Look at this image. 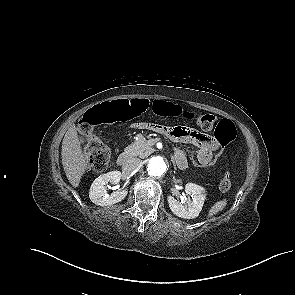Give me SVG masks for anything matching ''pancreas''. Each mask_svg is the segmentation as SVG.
<instances>
[{
    "label": "pancreas",
    "instance_id": "obj_1",
    "mask_svg": "<svg viewBox=\"0 0 295 295\" xmlns=\"http://www.w3.org/2000/svg\"><path fill=\"white\" fill-rule=\"evenodd\" d=\"M154 149L147 142V140L142 136L138 135L137 140L131 145L127 146L124 153L127 157H140L145 158L149 156Z\"/></svg>",
    "mask_w": 295,
    "mask_h": 295
}]
</instances>
